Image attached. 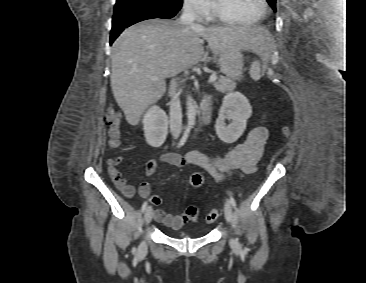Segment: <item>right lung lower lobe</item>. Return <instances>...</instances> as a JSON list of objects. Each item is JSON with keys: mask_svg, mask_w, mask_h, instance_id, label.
I'll use <instances>...</instances> for the list:
<instances>
[{"mask_svg": "<svg viewBox=\"0 0 366 283\" xmlns=\"http://www.w3.org/2000/svg\"><path fill=\"white\" fill-rule=\"evenodd\" d=\"M176 14V11H169L155 2L142 4L136 2L116 3L112 20L110 44L113 43L125 28L137 22L153 18H172Z\"/></svg>", "mask_w": 366, "mask_h": 283, "instance_id": "1", "label": "right lung lower lobe"}]
</instances>
